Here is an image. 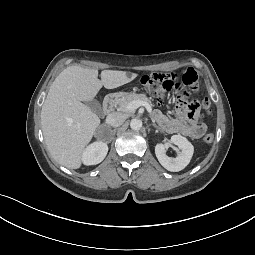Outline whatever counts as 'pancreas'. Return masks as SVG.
Masks as SVG:
<instances>
[{
	"label": "pancreas",
	"instance_id": "cf45deb5",
	"mask_svg": "<svg viewBox=\"0 0 255 255\" xmlns=\"http://www.w3.org/2000/svg\"><path fill=\"white\" fill-rule=\"evenodd\" d=\"M134 100L144 101L147 102L150 106H152L150 99L146 95L136 93H130L117 98L116 104L119 106L121 110L127 111L126 109L127 105Z\"/></svg>",
	"mask_w": 255,
	"mask_h": 255
}]
</instances>
